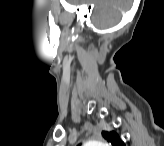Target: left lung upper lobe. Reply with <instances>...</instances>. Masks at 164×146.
Instances as JSON below:
<instances>
[{"instance_id": "left-lung-upper-lobe-1", "label": "left lung upper lobe", "mask_w": 164, "mask_h": 146, "mask_svg": "<svg viewBox=\"0 0 164 146\" xmlns=\"http://www.w3.org/2000/svg\"><path fill=\"white\" fill-rule=\"evenodd\" d=\"M102 135L113 146H124V142L115 131H103Z\"/></svg>"}]
</instances>
